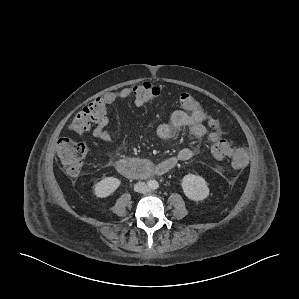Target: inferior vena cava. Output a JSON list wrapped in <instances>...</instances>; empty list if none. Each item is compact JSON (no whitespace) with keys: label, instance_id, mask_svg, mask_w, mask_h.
<instances>
[{"label":"inferior vena cava","instance_id":"obj_1","mask_svg":"<svg viewBox=\"0 0 299 299\" xmlns=\"http://www.w3.org/2000/svg\"><path fill=\"white\" fill-rule=\"evenodd\" d=\"M134 190L139 193H147L149 191V187L145 182H139L134 185Z\"/></svg>","mask_w":299,"mask_h":299}]
</instances>
